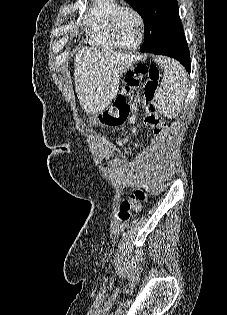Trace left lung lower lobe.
Returning <instances> with one entry per match:
<instances>
[{
    "instance_id": "left-lung-lower-lobe-1",
    "label": "left lung lower lobe",
    "mask_w": 227,
    "mask_h": 315,
    "mask_svg": "<svg viewBox=\"0 0 227 315\" xmlns=\"http://www.w3.org/2000/svg\"><path fill=\"white\" fill-rule=\"evenodd\" d=\"M142 52L166 55V56L175 58L178 61H180V63L183 64L185 68L187 69V71L190 73L191 61H190L189 49H188L185 36L181 37L180 39L174 42L165 44L160 47H152V46L143 45Z\"/></svg>"
}]
</instances>
